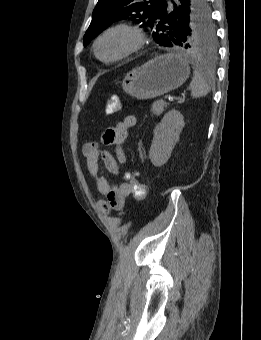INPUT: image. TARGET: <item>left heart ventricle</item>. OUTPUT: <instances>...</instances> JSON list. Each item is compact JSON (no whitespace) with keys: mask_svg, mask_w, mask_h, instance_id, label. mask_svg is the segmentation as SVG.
<instances>
[{"mask_svg":"<svg viewBox=\"0 0 261 340\" xmlns=\"http://www.w3.org/2000/svg\"><path fill=\"white\" fill-rule=\"evenodd\" d=\"M133 45V36L123 30L106 35L99 44V54L104 59L118 56Z\"/></svg>","mask_w":261,"mask_h":340,"instance_id":"1","label":"left heart ventricle"}]
</instances>
